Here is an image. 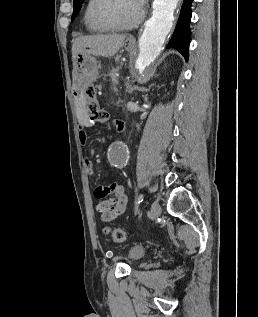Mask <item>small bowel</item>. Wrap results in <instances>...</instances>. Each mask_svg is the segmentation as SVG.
Masks as SVG:
<instances>
[{"label": "small bowel", "instance_id": "1", "mask_svg": "<svg viewBox=\"0 0 258 317\" xmlns=\"http://www.w3.org/2000/svg\"><path fill=\"white\" fill-rule=\"evenodd\" d=\"M87 121H82V128L79 131L78 137L82 145H85L88 140L87 133L84 128L87 127ZM113 125L118 129L124 128L120 121H114ZM85 172L88 176L94 175V166L91 160L84 161ZM94 196L101 201L96 206V211L100 215L102 222H111L122 215L127 207V196L122 185L113 183L110 185L98 186L94 191Z\"/></svg>", "mask_w": 258, "mask_h": 317}]
</instances>
